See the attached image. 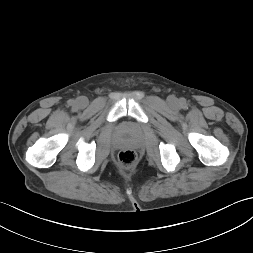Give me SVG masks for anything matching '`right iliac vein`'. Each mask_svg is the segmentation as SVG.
<instances>
[{
  "instance_id": "right-iliac-vein-1",
  "label": "right iliac vein",
  "mask_w": 253,
  "mask_h": 253,
  "mask_svg": "<svg viewBox=\"0 0 253 253\" xmlns=\"http://www.w3.org/2000/svg\"><path fill=\"white\" fill-rule=\"evenodd\" d=\"M77 106L83 108L88 104V100L85 97H81L77 100Z\"/></svg>"
}]
</instances>
